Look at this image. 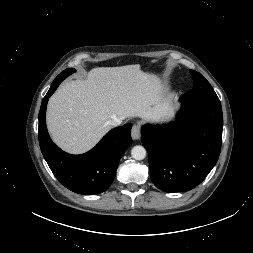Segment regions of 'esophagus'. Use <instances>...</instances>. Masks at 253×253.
Instances as JSON below:
<instances>
[{"label":"esophagus","mask_w":253,"mask_h":253,"mask_svg":"<svg viewBox=\"0 0 253 253\" xmlns=\"http://www.w3.org/2000/svg\"><path fill=\"white\" fill-rule=\"evenodd\" d=\"M131 136L134 140H138L141 136V128L139 125H134L131 130Z\"/></svg>","instance_id":"obj_1"}]
</instances>
